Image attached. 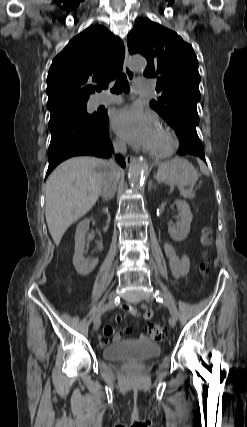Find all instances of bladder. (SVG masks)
Masks as SVG:
<instances>
[{"label": "bladder", "mask_w": 247, "mask_h": 427, "mask_svg": "<svg viewBox=\"0 0 247 427\" xmlns=\"http://www.w3.org/2000/svg\"><path fill=\"white\" fill-rule=\"evenodd\" d=\"M161 353L159 345L152 342L122 341L104 348V357L111 361L125 359L149 360Z\"/></svg>", "instance_id": "obj_1"}]
</instances>
